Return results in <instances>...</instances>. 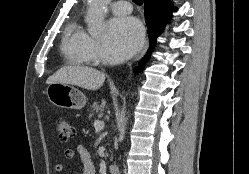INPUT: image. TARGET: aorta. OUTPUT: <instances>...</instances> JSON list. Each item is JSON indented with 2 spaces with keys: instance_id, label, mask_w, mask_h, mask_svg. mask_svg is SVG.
Instances as JSON below:
<instances>
[{
  "instance_id": "762f6f07",
  "label": "aorta",
  "mask_w": 249,
  "mask_h": 174,
  "mask_svg": "<svg viewBox=\"0 0 249 174\" xmlns=\"http://www.w3.org/2000/svg\"><path fill=\"white\" fill-rule=\"evenodd\" d=\"M110 2L111 0H88L86 22L91 35L99 36L103 33L104 10Z\"/></svg>"
}]
</instances>
